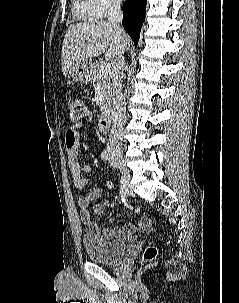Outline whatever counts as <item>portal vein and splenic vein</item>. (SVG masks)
Listing matches in <instances>:
<instances>
[{
  "instance_id": "18ae733b",
  "label": "portal vein and splenic vein",
  "mask_w": 239,
  "mask_h": 303,
  "mask_svg": "<svg viewBox=\"0 0 239 303\" xmlns=\"http://www.w3.org/2000/svg\"><path fill=\"white\" fill-rule=\"evenodd\" d=\"M111 71V66L108 63H103L100 68V77L108 75Z\"/></svg>"
}]
</instances>
